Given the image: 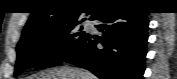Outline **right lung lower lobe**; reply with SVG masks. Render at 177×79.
<instances>
[{
	"instance_id": "right-lung-lower-lobe-1",
	"label": "right lung lower lobe",
	"mask_w": 177,
	"mask_h": 79,
	"mask_svg": "<svg viewBox=\"0 0 177 79\" xmlns=\"http://www.w3.org/2000/svg\"><path fill=\"white\" fill-rule=\"evenodd\" d=\"M91 20L102 38L88 36L63 62L75 63L101 79H143L146 56L147 13L114 5L100 10Z\"/></svg>"
}]
</instances>
